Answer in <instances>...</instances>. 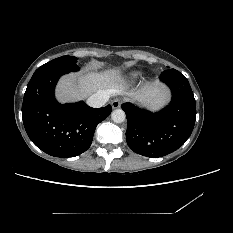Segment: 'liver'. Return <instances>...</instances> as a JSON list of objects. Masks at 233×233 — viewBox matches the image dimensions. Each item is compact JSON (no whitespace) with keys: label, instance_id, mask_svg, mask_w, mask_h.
I'll return each instance as SVG.
<instances>
[{"label":"liver","instance_id":"obj_1","mask_svg":"<svg viewBox=\"0 0 233 233\" xmlns=\"http://www.w3.org/2000/svg\"><path fill=\"white\" fill-rule=\"evenodd\" d=\"M101 91L109 95L128 94L150 107H160L166 100L165 90L158 82L145 85L136 94L128 93L122 83L120 71L115 68L103 72L90 71L64 76L58 82L56 97L61 103L73 102Z\"/></svg>","mask_w":233,"mask_h":233}]
</instances>
